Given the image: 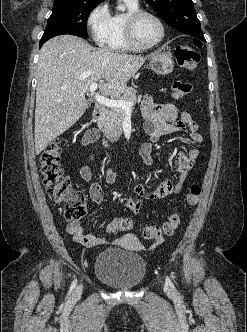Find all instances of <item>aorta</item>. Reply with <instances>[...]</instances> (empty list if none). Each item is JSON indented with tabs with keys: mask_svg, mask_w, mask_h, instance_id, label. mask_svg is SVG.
I'll return each instance as SVG.
<instances>
[{
	"mask_svg": "<svg viewBox=\"0 0 247 332\" xmlns=\"http://www.w3.org/2000/svg\"><path fill=\"white\" fill-rule=\"evenodd\" d=\"M119 10L124 11L125 8L123 6L119 7Z\"/></svg>",
	"mask_w": 247,
	"mask_h": 332,
	"instance_id": "762f6f07",
	"label": "aorta"
}]
</instances>
